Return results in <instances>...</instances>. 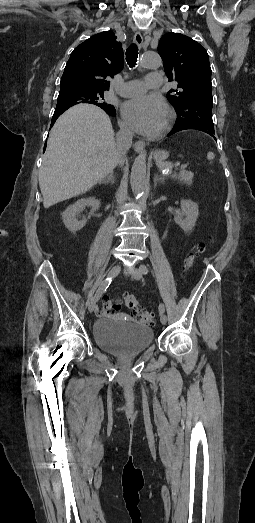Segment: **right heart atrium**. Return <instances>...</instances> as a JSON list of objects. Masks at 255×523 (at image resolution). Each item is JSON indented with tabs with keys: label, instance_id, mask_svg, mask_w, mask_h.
Here are the masks:
<instances>
[{
	"label": "right heart atrium",
	"instance_id": "1",
	"mask_svg": "<svg viewBox=\"0 0 255 523\" xmlns=\"http://www.w3.org/2000/svg\"><path fill=\"white\" fill-rule=\"evenodd\" d=\"M120 127H121V130H122V132L124 134H126V135H130L131 134L130 128L128 127V125L124 121H120Z\"/></svg>",
	"mask_w": 255,
	"mask_h": 523
}]
</instances>
